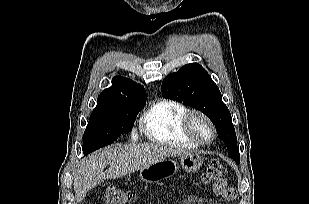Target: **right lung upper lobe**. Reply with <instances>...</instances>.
Listing matches in <instances>:
<instances>
[{
  "label": "right lung upper lobe",
  "instance_id": "1",
  "mask_svg": "<svg viewBox=\"0 0 309 204\" xmlns=\"http://www.w3.org/2000/svg\"><path fill=\"white\" fill-rule=\"evenodd\" d=\"M147 98L145 89L132 80L116 76L112 79V87L105 89L97 99V105L120 100H136Z\"/></svg>",
  "mask_w": 309,
  "mask_h": 204
}]
</instances>
